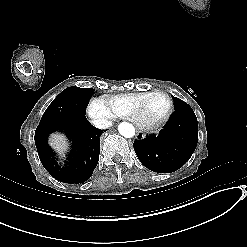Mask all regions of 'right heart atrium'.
<instances>
[{"mask_svg": "<svg viewBox=\"0 0 247 247\" xmlns=\"http://www.w3.org/2000/svg\"><path fill=\"white\" fill-rule=\"evenodd\" d=\"M88 114L91 120L98 124L108 123L112 119L110 109L100 98L91 100L88 106Z\"/></svg>", "mask_w": 247, "mask_h": 247, "instance_id": "obj_1", "label": "right heart atrium"}]
</instances>
